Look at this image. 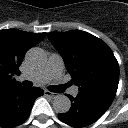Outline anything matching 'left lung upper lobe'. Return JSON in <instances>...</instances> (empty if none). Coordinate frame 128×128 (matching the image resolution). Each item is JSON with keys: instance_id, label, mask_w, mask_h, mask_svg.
<instances>
[{"instance_id": "1", "label": "left lung upper lobe", "mask_w": 128, "mask_h": 128, "mask_svg": "<svg viewBox=\"0 0 128 128\" xmlns=\"http://www.w3.org/2000/svg\"><path fill=\"white\" fill-rule=\"evenodd\" d=\"M60 52L79 91L102 90L116 94L119 65L108 45L80 30L47 33Z\"/></svg>"}]
</instances>
